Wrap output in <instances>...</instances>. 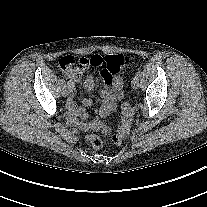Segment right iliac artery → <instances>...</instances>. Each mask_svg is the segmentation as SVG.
Returning <instances> with one entry per match:
<instances>
[{"label":"right iliac artery","instance_id":"1","mask_svg":"<svg viewBox=\"0 0 207 207\" xmlns=\"http://www.w3.org/2000/svg\"><path fill=\"white\" fill-rule=\"evenodd\" d=\"M61 84L63 87H66V82L64 80H61ZM68 87H70V84H68Z\"/></svg>","mask_w":207,"mask_h":207}]
</instances>
